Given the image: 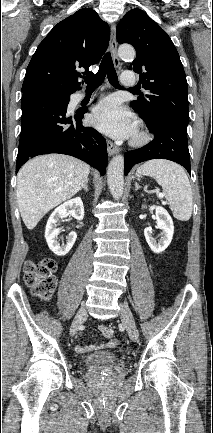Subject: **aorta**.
<instances>
[{
  "label": "aorta",
  "mask_w": 213,
  "mask_h": 433,
  "mask_svg": "<svg viewBox=\"0 0 213 433\" xmlns=\"http://www.w3.org/2000/svg\"><path fill=\"white\" fill-rule=\"evenodd\" d=\"M118 55L121 59L132 60L135 57V50L129 45H122L118 48ZM107 183L114 199H120L124 191V158L116 155L112 158L107 170Z\"/></svg>",
  "instance_id": "aorta-1"
}]
</instances>
